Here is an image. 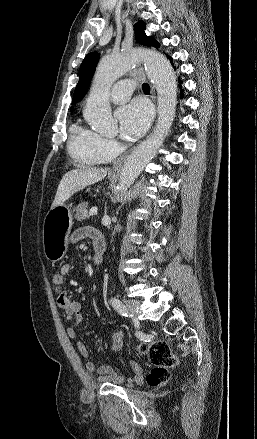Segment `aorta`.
<instances>
[{"label": "aorta", "mask_w": 257, "mask_h": 439, "mask_svg": "<svg viewBox=\"0 0 257 439\" xmlns=\"http://www.w3.org/2000/svg\"><path fill=\"white\" fill-rule=\"evenodd\" d=\"M139 61L144 62L148 78L155 84L158 102V120L153 133L137 146L126 159L118 189L126 191L153 159L161 147L175 118L177 84L169 60L152 49H132L120 55L104 56L97 67L93 85L84 109V118L98 133L112 136L117 132L109 104L112 84Z\"/></svg>", "instance_id": "762f6f07"}]
</instances>
